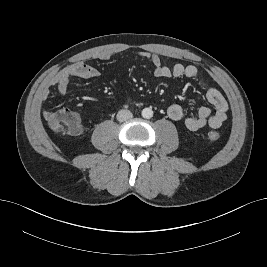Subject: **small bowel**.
Wrapping results in <instances>:
<instances>
[{
	"instance_id": "1",
	"label": "small bowel",
	"mask_w": 267,
	"mask_h": 267,
	"mask_svg": "<svg viewBox=\"0 0 267 267\" xmlns=\"http://www.w3.org/2000/svg\"><path fill=\"white\" fill-rule=\"evenodd\" d=\"M139 57L149 60L154 67V75L158 78H181L186 77L192 81H195L206 94L207 101L214 107L215 111L212 113L211 108L208 105H202L198 113L194 116L184 117V110L179 104H172L168 107V116L175 121L184 118V124L187 129L191 131H197L206 125L211 128H219L227 119L228 103L221 94V92L210 86L201 77L197 67L193 65L175 64L174 66L165 65L161 58L156 54L143 51L137 54ZM99 59L109 60L110 54H100ZM100 75L97 68L90 66L84 62L73 63L63 70H61L51 81L50 85L56 87L59 95L66 94L70 89V82L72 78L80 79H92ZM49 90L42 92L41 98L43 100L49 97ZM52 111L44 110L42 112L43 117L48 121L52 115Z\"/></svg>"
}]
</instances>
